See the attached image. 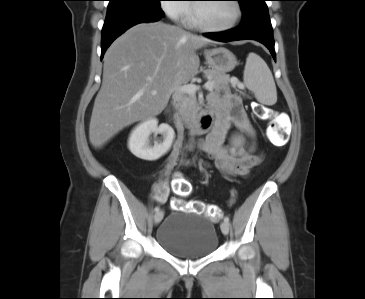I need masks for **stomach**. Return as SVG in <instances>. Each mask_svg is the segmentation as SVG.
I'll return each mask as SVG.
<instances>
[{
	"mask_svg": "<svg viewBox=\"0 0 365 299\" xmlns=\"http://www.w3.org/2000/svg\"><path fill=\"white\" fill-rule=\"evenodd\" d=\"M204 54L209 67L215 71L230 72L237 65L235 55L224 47L205 50Z\"/></svg>",
	"mask_w": 365,
	"mask_h": 299,
	"instance_id": "obj_1",
	"label": "stomach"
}]
</instances>
